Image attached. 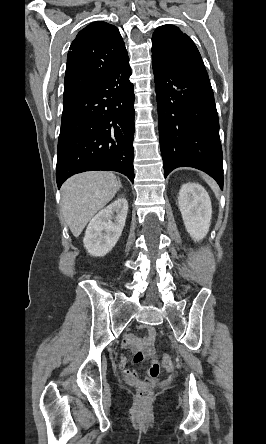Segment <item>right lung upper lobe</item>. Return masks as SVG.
I'll use <instances>...</instances> for the list:
<instances>
[{
	"label": "right lung upper lobe",
	"mask_w": 266,
	"mask_h": 444,
	"mask_svg": "<svg viewBox=\"0 0 266 444\" xmlns=\"http://www.w3.org/2000/svg\"><path fill=\"white\" fill-rule=\"evenodd\" d=\"M128 59L117 27L102 21L86 26L68 52L63 104L88 92Z\"/></svg>",
	"instance_id": "1"
}]
</instances>
